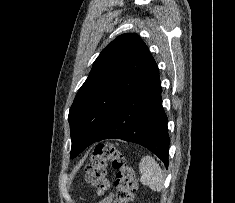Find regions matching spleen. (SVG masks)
<instances>
[{
  "instance_id": "spleen-1",
  "label": "spleen",
  "mask_w": 235,
  "mask_h": 203,
  "mask_svg": "<svg viewBox=\"0 0 235 203\" xmlns=\"http://www.w3.org/2000/svg\"><path fill=\"white\" fill-rule=\"evenodd\" d=\"M141 173L140 182L154 191H161L164 185V176L161 167L151 156H145L139 163Z\"/></svg>"
}]
</instances>
